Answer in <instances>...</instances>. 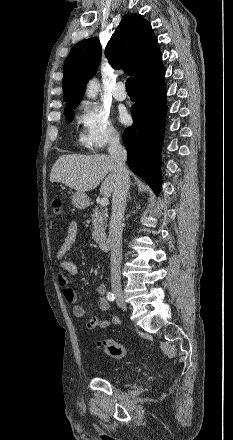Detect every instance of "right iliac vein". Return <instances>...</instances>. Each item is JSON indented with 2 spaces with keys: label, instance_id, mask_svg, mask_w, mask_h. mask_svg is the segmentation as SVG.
<instances>
[{
  "label": "right iliac vein",
  "instance_id": "1",
  "mask_svg": "<svg viewBox=\"0 0 233 440\" xmlns=\"http://www.w3.org/2000/svg\"><path fill=\"white\" fill-rule=\"evenodd\" d=\"M112 290H113V293H114V295L116 297V300H117L118 304L123 309H126V303H125V299H124V295H123V291L121 289V286L115 284V285L112 286Z\"/></svg>",
  "mask_w": 233,
  "mask_h": 440
}]
</instances>
